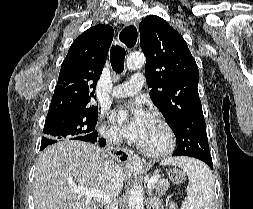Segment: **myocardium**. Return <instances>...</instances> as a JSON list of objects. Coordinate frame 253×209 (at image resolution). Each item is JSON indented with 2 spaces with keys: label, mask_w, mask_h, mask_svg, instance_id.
Here are the masks:
<instances>
[{
  "label": "myocardium",
  "mask_w": 253,
  "mask_h": 209,
  "mask_svg": "<svg viewBox=\"0 0 253 209\" xmlns=\"http://www.w3.org/2000/svg\"><path fill=\"white\" fill-rule=\"evenodd\" d=\"M153 119L156 122H158L165 130L166 137H167V143H166L165 147H163L159 150H149V149H146L143 146H141L139 143H137L136 148L141 154H143L147 157L161 158V157L168 155L170 152H172V150L174 149L175 144H176V138H175V134H174L172 127L163 117H161L159 115H154Z\"/></svg>",
  "instance_id": "1"
}]
</instances>
